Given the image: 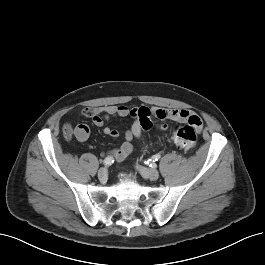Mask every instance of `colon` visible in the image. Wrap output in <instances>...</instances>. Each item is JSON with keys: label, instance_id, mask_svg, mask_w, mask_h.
<instances>
[{"label": "colon", "instance_id": "5ec220e1", "mask_svg": "<svg viewBox=\"0 0 265 265\" xmlns=\"http://www.w3.org/2000/svg\"><path fill=\"white\" fill-rule=\"evenodd\" d=\"M192 121V119H191ZM197 128L193 123H189L188 125H177L173 130V140L175 144L184 149L190 150L192 149L197 142ZM72 134V128L67 125L64 128V135L66 137H70Z\"/></svg>", "mask_w": 265, "mask_h": 265}]
</instances>
